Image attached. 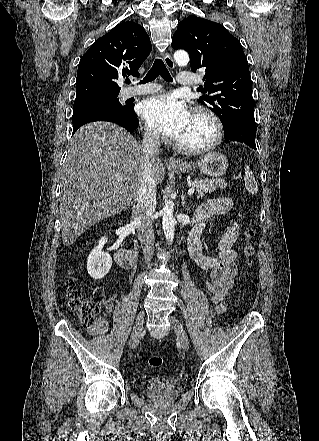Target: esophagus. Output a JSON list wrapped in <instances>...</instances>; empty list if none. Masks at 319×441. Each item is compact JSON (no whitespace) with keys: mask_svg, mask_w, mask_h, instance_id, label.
I'll use <instances>...</instances> for the list:
<instances>
[{"mask_svg":"<svg viewBox=\"0 0 319 441\" xmlns=\"http://www.w3.org/2000/svg\"><path fill=\"white\" fill-rule=\"evenodd\" d=\"M163 60H164L165 65H166L169 69H174V68H175V63H174V61H173L171 55H170L168 52H166V53L164 54ZM168 163H169L170 165H181V164H182V162H181L179 159L175 158V157H170V158L168 159Z\"/></svg>","mask_w":319,"mask_h":441,"instance_id":"34e87169","label":"esophagus"}]
</instances>
